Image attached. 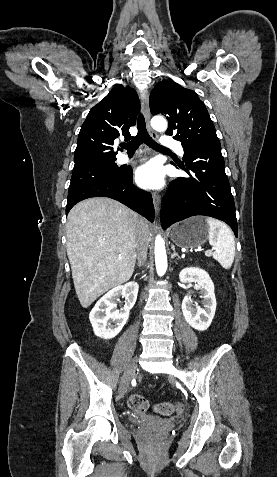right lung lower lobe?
<instances>
[{
	"label": "right lung lower lobe",
	"instance_id": "obj_1",
	"mask_svg": "<svg viewBox=\"0 0 277 477\" xmlns=\"http://www.w3.org/2000/svg\"><path fill=\"white\" fill-rule=\"evenodd\" d=\"M91 197H109L154 221V206L150 193L132 183V172L127 170L123 179H104L89 183L68 194L66 214L78 202Z\"/></svg>",
	"mask_w": 277,
	"mask_h": 477
}]
</instances>
